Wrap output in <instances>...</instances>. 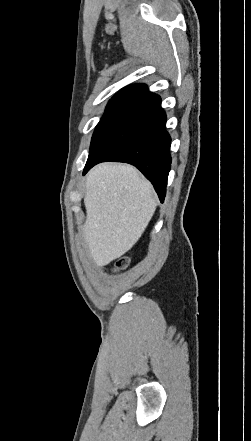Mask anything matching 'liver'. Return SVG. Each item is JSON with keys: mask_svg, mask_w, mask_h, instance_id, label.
Listing matches in <instances>:
<instances>
[{"mask_svg": "<svg viewBox=\"0 0 251 441\" xmlns=\"http://www.w3.org/2000/svg\"><path fill=\"white\" fill-rule=\"evenodd\" d=\"M83 234L97 266L129 251L142 236L155 210L151 184L127 164L101 163L85 182Z\"/></svg>", "mask_w": 251, "mask_h": 441, "instance_id": "liver-1", "label": "liver"}]
</instances>
